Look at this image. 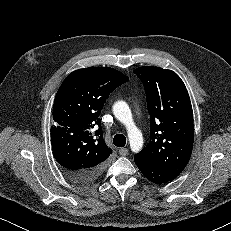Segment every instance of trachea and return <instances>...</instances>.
Segmentation results:
<instances>
[{
	"label": "trachea",
	"mask_w": 231,
	"mask_h": 231,
	"mask_svg": "<svg viewBox=\"0 0 231 231\" xmlns=\"http://www.w3.org/2000/svg\"><path fill=\"white\" fill-rule=\"evenodd\" d=\"M113 143L117 147H124L126 144V137L123 134H116L113 138Z\"/></svg>",
	"instance_id": "obj_1"
}]
</instances>
